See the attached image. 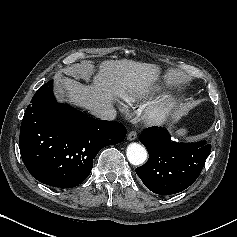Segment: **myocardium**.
I'll list each match as a JSON object with an SVG mask.
<instances>
[{
  "label": "myocardium",
  "mask_w": 237,
  "mask_h": 237,
  "mask_svg": "<svg viewBox=\"0 0 237 237\" xmlns=\"http://www.w3.org/2000/svg\"><path fill=\"white\" fill-rule=\"evenodd\" d=\"M174 102L166 100L147 107L142 113V120L152 126L162 125L172 113Z\"/></svg>",
  "instance_id": "obj_1"
}]
</instances>
